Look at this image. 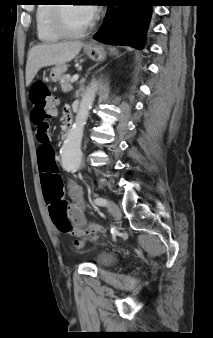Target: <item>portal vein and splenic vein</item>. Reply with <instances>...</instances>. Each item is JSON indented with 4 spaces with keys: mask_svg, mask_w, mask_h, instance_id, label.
<instances>
[{
    "mask_svg": "<svg viewBox=\"0 0 213 338\" xmlns=\"http://www.w3.org/2000/svg\"><path fill=\"white\" fill-rule=\"evenodd\" d=\"M78 79H79V75H78V74H75V75H73V77L71 78V82L73 83V82L77 81Z\"/></svg>",
    "mask_w": 213,
    "mask_h": 338,
    "instance_id": "portal-vein-and-splenic-vein-1",
    "label": "portal vein and splenic vein"
}]
</instances>
